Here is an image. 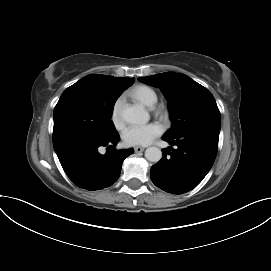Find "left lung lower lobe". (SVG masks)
<instances>
[{
  "label": "left lung lower lobe",
  "instance_id": "obj_1",
  "mask_svg": "<svg viewBox=\"0 0 271 271\" xmlns=\"http://www.w3.org/2000/svg\"><path fill=\"white\" fill-rule=\"evenodd\" d=\"M162 139L177 147L164 149L163 158L151 167L152 182L168 193L183 194L192 190L215 161L219 131L197 130Z\"/></svg>",
  "mask_w": 271,
  "mask_h": 271
}]
</instances>
